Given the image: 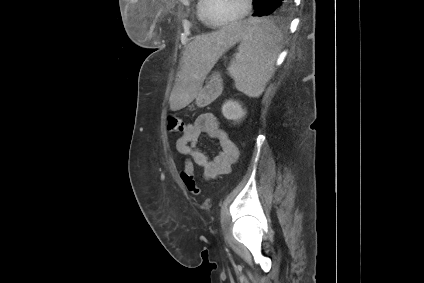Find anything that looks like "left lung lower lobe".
Masks as SVG:
<instances>
[{
  "label": "left lung lower lobe",
  "mask_w": 424,
  "mask_h": 283,
  "mask_svg": "<svg viewBox=\"0 0 424 283\" xmlns=\"http://www.w3.org/2000/svg\"><path fill=\"white\" fill-rule=\"evenodd\" d=\"M293 0H256L254 3V13L252 16H268L278 11L287 10Z\"/></svg>",
  "instance_id": "1"
}]
</instances>
